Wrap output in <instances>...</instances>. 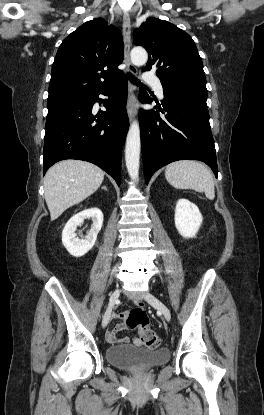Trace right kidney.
I'll return each instance as SVG.
<instances>
[{
  "instance_id": "right-kidney-1",
  "label": "right kidney",
  "mask_w": 264,
  "mask_h": 415,
  "mask_svg": "<svg viewBox=\"0 0 264 415\" xmlns=\"http://www.w3.org/2000/svg\"><path fill=\"white\" fill-rule=\"evenodd\" d=\"M87 218L92 219V226L87 235L79 239L76 237L77 226ZM103 224V214L98 208L83 210L70 218L62 232V243L67 251L75 257L85 255L94 246L97 235Z\"/></svg>"
}]
</instances>
